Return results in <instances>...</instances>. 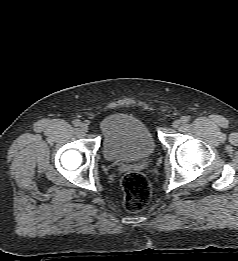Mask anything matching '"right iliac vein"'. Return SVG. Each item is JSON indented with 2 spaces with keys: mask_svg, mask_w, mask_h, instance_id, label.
<instances>
[{
  "mask_svg": "<svg viewBox=\"0 0 238 261\" xmlns=\"http://www.w3.org/2000/svg\"><path fill=\"white\" fill-rule=\"evenodd\" d=\"M80 127H81V130L82 131H84V132H87L88 131V125L87 124H85V123H82L81 125H80Z\"/></svg>",
  "mask_w": 238,
  "mask_h": 261,
  "instance_id": "1",
  "label": "right iliac vein"
}]
</instances>
